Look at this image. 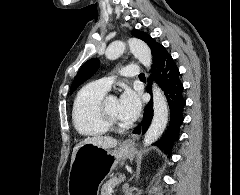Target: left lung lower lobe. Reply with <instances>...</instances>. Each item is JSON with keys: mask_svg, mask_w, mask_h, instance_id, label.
Instances as JSON below:
<instances>
[{"mask_svg": "<svg viewBox=\"0 0 240 195\" xmlns=\"http://www.w3.org/2000/svg\"><path fill=\"white\" fill-rule=\"evenodd\" d=\"M179 76L178 67L169 54L153 67L151 78L148 79L149 85L147 86V92L151 93V82L155 80L164 91L170 108V123L168 129L164 136L156 143L167 153H171L172 143L178 138L179 127L183 122V108L186 104L183 97V84ZM152 117L153 102L151 100L145 106L142 122L134 129L133 133H140L142 131L144 134L150 126Z\"/></svg>", "mask_w": 240, "mask_h": 195, "instance_id": "obj_1", "label": "left lung lower lobe"}]
</instances>
